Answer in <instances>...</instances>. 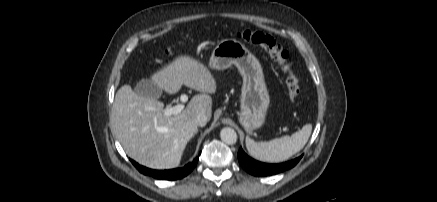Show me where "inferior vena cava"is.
Instances as JSON below:
<instances>
[{
  "instance_id": "inferior-vena-cava-1",
  "label": "inferior vena cava",
  "mask_w": 437,
  "mask_h": 202,
  "mask_svg": "<svg viewBox=\"0 0 437 202\" xmlns=\"http://www.w3.org/2000/svg\"><path fill=\"white\" fill-rule=\"evenodd\" d=\"M208 120H209V118L205 113H199L196 116L195 122L198 126L203 127L207 124Z\"/></svg>"
}]
</instances>
